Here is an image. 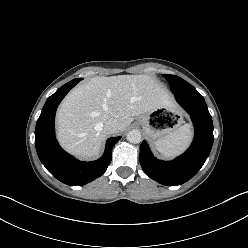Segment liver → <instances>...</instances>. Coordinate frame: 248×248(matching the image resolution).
<instances>
[{
  "instance_id": "6515ba94",
  "label": "liver",
  "mask_w": 248,
  "mask_h": 248,
  "mask_svg": "<svg viewBox=\"0 0 248 248\" xmlns=\"http://www.w3.org/2000/svg\"><path fill=\"white\" fill-rule=\"evenodd\" d=\"M172 106L169 93L148 75L93 77L61 103L56 116L58 139L68 152L95 158L109 135L104 130L106 121L116 119L120 133L135 116Z\"/></svg>"
}]
</instances>
